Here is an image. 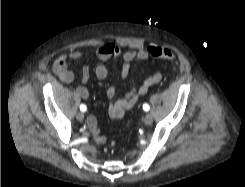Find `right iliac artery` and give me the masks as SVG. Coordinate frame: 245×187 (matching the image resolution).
Wrapping results in <instances>:
<instances>
[{"label":"right iliac artery","instance_id":"1","mask_svg":"<svg viewBox=\"0 0 245 187\" xmlns=\"http://www.w3.org/2000/svg\"><path fill=\"white\" fill-rule=\"evenodd\" d=\"M86 109H87V107H86L84 104H81V105H80V110H81L82 112H85Z\"/></svg>","mask_w":245,"mask_h":187}]
</instances>
